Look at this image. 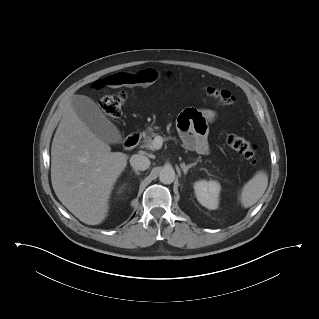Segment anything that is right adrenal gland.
I'll list each match as a JSON object with an SVG mask.
<instances>
[{
  "instance_id": "2a0ac1e0",
  "label": "right adrenal gland",
  "mask_w": 319,
  "mask_h": 319,
  "mask_svg": "<svg viewBox=\"0 0 319 319\" xmlns=\"http://www.w3.org/2000/svg\"><path fill=\"white\" fill-rule=\"evenodd\" d=\"M133 171L135 172L136 175H140V173L137 170L133 169Z\"/></svg>"
}]
</instances>
